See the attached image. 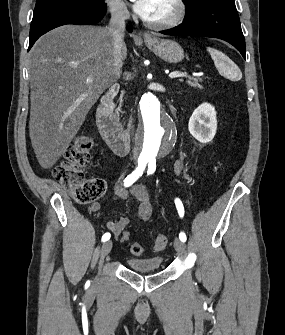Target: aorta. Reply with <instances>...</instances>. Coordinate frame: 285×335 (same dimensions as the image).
Returning a JSON list of instances; mask_svg holds the SVG:
<instances>
[{
	"mask_svg": "<svg viewBox=\"0 0 285 335\" xmlns=\"http://www.w3.org/2000/svg\"><path fill=\"white\" fill-rule=\"evenodd\" d=\"M138 111L141 112V125L134 127L137 147H140L142 160H163L176 147L180 130L176 119H170L164 95H156L155 90H140Z\"/></svg>",
	"mask_w": 285,
	"mask_h": 335,
	"instance_id": "aorta-1",
	"label": "aorta"
}]
</instances>
